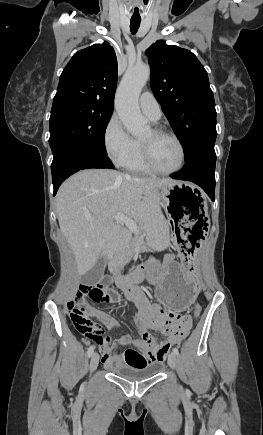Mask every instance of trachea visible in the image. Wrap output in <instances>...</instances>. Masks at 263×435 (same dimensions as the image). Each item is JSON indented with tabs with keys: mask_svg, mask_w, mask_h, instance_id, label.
Returning <instances> with one entry per match:
<instances>
[{
	"mask_svg": "<svg viewBox=\"0 0 263 435\" xmlns=\"http://www.w3.org/2000/svg\"><path fill=\"white\" fill-rule=\"evenodd\" d=\"M141 20H130V31L132 34H135L140 26Z\"/></svg>",
	"mask_w": 263,
	"mask_h": 435,
	"instance_id": "obj_1",
	"label": "trachea"
}]
</instances>
